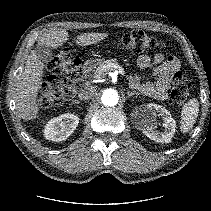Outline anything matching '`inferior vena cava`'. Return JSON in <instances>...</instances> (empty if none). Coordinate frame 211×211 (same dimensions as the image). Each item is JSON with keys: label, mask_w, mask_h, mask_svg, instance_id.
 <instances>
[{"label": "inferior vena cava", "mask_w": 211, "mask_h": 211, "mask_svg": "<svg viewBox=\"0 0 211 211\" xmlns=\"http://www.w3.org/2000/svg\"><path fill=\"white\" fill-rule=\"evenodd\" d=\"M96 93V87L87 85L78 93L80 100H90Z\"/></svg>", "instance_id": "1"}]
</instances>
